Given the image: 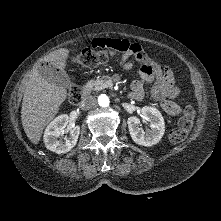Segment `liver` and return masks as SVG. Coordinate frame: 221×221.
<instances>
[{"label":"liver","mask_w":221,"mask_h":221,"mask_svg":"<svg viewBox=\"0 0 221 221\" xmlns=\"http://www.w3.org/2000/svg\"><path fill=\"white\" fill-rule=\"evenodd\" d=\"M68 58V49H57L38 60L30 72L22 101L21 121L33 144L39 143L44 128L53 120L67 98L65 87L45 80L38 68L42 62H48L53 67L64 70Z\"/></svg>","instance_id":"6515ba94"}]
</instances>
